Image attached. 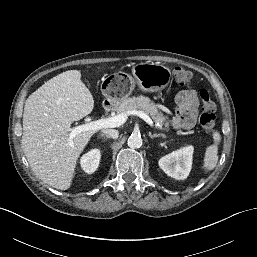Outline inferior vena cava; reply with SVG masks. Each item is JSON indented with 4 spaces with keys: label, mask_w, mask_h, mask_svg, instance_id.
Returning a JSON list of instances; mask_svg holds the SVG:
<instances>
[{
    "label": "inferior vena cava",
    "mask_w": 257,
    "mask_h": 257,
    "mask_svg": "<svg viewBox=\"0 0 257 257\" xmlns=\"http://www.w3.org/2000/svg\"><path fill=\"white\" fill-rule=\"evenodd\" d=\"M102 134L108 136L109 138L117 139L119 136V132L115 129H104L101 131Z\"/></svg>",
    "instance_id": "inferior-vena-cava-1"
}]
</instances>
